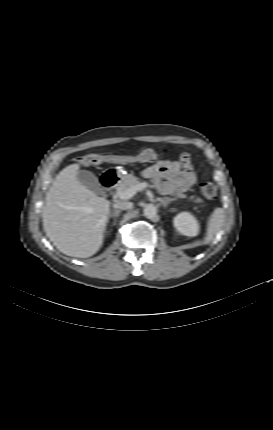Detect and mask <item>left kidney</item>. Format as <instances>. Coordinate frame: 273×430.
<instances>
[{"mask_svg":"<svg viewBox=\"0 0 273 430\" xmlns=\"http://www.w3.org/2000/svg\"><path fill=\"white\" fill-rule=\"evenodd\" d=\"M174 226L179 233L189 237L197 236L200 229L196 216L186 211L174 218Z\"/></svg>","mask_w":273,"mask_h":430,"instance_id":"1","label":"left kidney"}]
</instances>
